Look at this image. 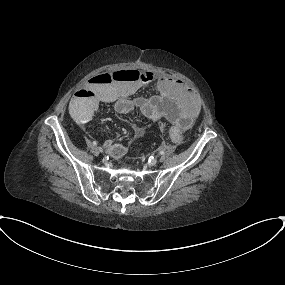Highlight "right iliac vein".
I'll return each mask as SVG.
<instances>
[{
  "mask_svg": "<svg viewBox=\"0 0 285 285\" xmlns=\"http://www.w3.org/2000/svg\"><path fill=\"white\" fill-rule=\"evenodd\" d=\"M96 150H97L98 153H103V151H104L101 146H97Z\"/></svg>",
  "mask_w": 285,
  "mask_h": 285,
  "instance_id": "63e3f726",
  "label": "right iliac vein"
}]
</instances>
